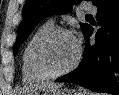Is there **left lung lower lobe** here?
Returning <instances> with one entry per match:
<instances>
[{"mask_svg": "<svg viewBox=\"0 0 119 95\" xmlns=\"http://www.w3.org/2000/svg\"><path fill=\"white\" fill-rule=\"evenodd\" d=\"M97 10L99 29L95 44H89L93 27L88 25L81 63L56 82H71L95 92L119 95V0H103Z\"/></svg>", "mask_w": 119, "mask_h": 95, "instance_id": "0a47b994", "label": "left lung lower lobe"}]
</instances>
